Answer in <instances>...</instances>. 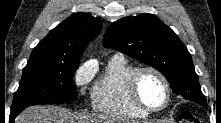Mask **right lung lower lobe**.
<instances>
[{
    "mask_svg": "<svg viewBox=\"0 0 221 123\" xmlns=\"http://www.w3.org/2000/svg\"><path fill=\"white\" fill-rule=\"evenodd\" d=\"M18 114H19V113H14V114L11 113V114H10V119H11V120H14L15 117H16Z\"/></svg>",
    "mask_w": 221,
    "mask_h": 123,
    "instance_id": "98d812e1",
    "label": "right lung lower lobe"
}]
</instances>
